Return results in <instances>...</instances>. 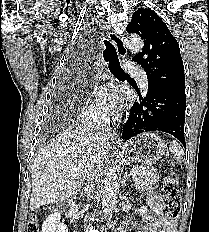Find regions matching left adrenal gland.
<instances>
[{
    "instance_id": "a2214340",
    "label": "left adrenal gland",
    "mask_w": 209,
    "mask_h": 232,
    "mask_svg": "<svg viewBox=\"0 0 209 232\" xmlns=\"http://www.w3.org/2000/svg\"><path fill=\"white\" fill-rule=\"evenodd\" d=\"M129 178L128 172H125V175L123 176V180H122V185L125 184L126 180Z\"/></svg>"
}]
</instances>
